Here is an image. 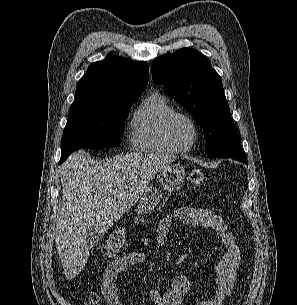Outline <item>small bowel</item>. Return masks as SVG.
Here are the masks:
<instances>
[{"label": "small bowel", "mask_w": 297, "mask_h": 305, "mask_svg": "<svg viewBox=\"0 0 297 305\" xmlns=\"http://www.w3.org/2000/svg\"><path fill=\"white\" fill-rule=\"evenodd\" d=\"M175 221L211 229L222 241L226 251L215 270L213 296L196 305H226L231 298L241 266V251L236 245L234 236L228 231L221 216L207 207L177 208L165 216L158 225L157 241L160 245L166 244L170 228ZM144 260L145 256L142 252L132 251L109 264L104 271L101 288L93 289L87 294L85 305H101V299L108 305H123L118 295V277L128 269L143 263ZM189 291L188 277L179 274L173 278L171 288L164 295H161L159 290L152 289L150 297L155 305H180Z\"/></svg>", "instance_id": "1"}]
</instances>
